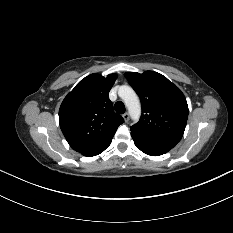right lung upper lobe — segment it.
Returning <instances> with one entry per match:
<instances>
[{
	"mask_svg": "<svg viewBox=\"0 0 233 233\" xmlns=\"http://www.w3.org/2000/svg\"><path fill=\"white\" fill-rule=\"evenodd\" d=\"M116 74H91L65 97L59 109L60 128L77 152L95 148L113 138L123 118L108 97Z\"/></svg>",
	"mask_w": 233,
	"mask_h": 233,
	"instance_id": "1",
	"label": "right lung upper lobe"
}]
</instances>
